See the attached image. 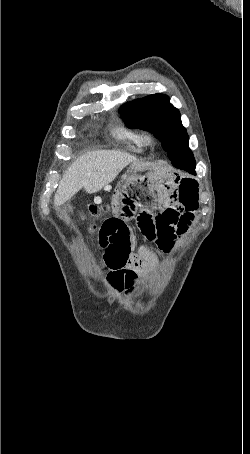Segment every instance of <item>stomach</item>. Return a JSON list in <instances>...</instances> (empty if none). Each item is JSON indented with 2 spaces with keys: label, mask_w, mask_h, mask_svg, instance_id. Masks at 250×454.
I'll use <instances>...</instances> for the list:
<instances>
[{
  "label": "stomach",
  "mask_w": 250,
  "mask_h": 454,
  "mask_svg": "<svg viewBox=\"0 0 250 454\" xmlns=\"http://www.w3.org/2000/svg\"><path fill=\"white\" fill-rule=\"evenodd\" d=\"M124 176H150V173L147 172L146 166L138 163H132Z\"/></svg>",
  "instance_id": "1"
}]
</instances>
